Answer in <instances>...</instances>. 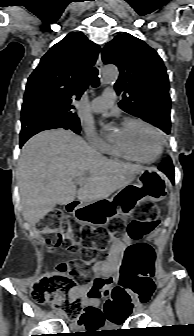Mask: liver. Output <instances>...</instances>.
<instances>
[{
    "mask_svg": "<svg viewBox=\"0 0 194 336\" xmlns=\"http://www.w3.org/2000/svg\"><path fill=\"white\" fill-rule=\"evenodd\" d=\"M141 169L102 156L71 131L41 132L24 144L18 161L24 219L34 227L57 204L104 200L128 186ZM85 173L89 176L83 179ZM75 180H82L79 190Z\"/></svg>",
    "mask_w": 194,
    "mask_h": 336,
    "instance_id": "liver-1",
    "label": "liver"
}]
</instances>
